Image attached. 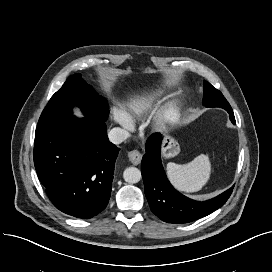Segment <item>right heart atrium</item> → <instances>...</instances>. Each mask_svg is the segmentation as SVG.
Returning a JSON list of instances; mask_svg holds the SVG:
<instances>
[{
	"label": "right heart atrium",
	"instance_id": "d8ad5b80",
	"mask_svg": "<svg viewBox=\"0 0 272 272\" xmlns=\"http://www.w3.org/2000/svg\"><path fill=\"white\" fill-rule=\"evenodd\" d=\"M114 119L122 124L125 128L130 129L131 128V124L124 118L122 112L115 110L113 113Z\"/></svg>",
	"mask_w": 272,
	"mask_h": 272
}]
</instances>
